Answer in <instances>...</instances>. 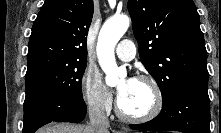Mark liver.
Here are the masks:
<instances>
[{
    "mask_svg": "<svg viewBox=\"0 0 221 133\" xmlns=\"http://www.w3.org/2000/svg\"><path fill=\"white\" fill-rule=\"evenodd\" d=\"M90 126L72 125L68 123H53L40 130L37 133H93ZM107 133H111L109 130ZM115 133V132H112Z\"/></svg>",
    "mask_w": 221,
    "mask_h": 133,
    "instance_id": "1",
    "label": "liver"
}]
</instances>
